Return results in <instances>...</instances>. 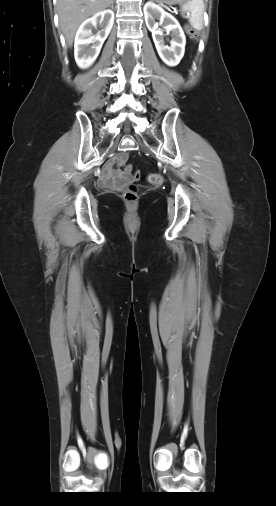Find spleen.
<instances>
[{"instance_id": "obj_1", "label": "spleen", "mask_w": 276, "mask_h": 506, "mask_svg": "<svg viewBox=\"0 0 276 506\" xmlns=\"http://www.w3.org/2000/svg\"><path fill=\"white\" fill-rule=\"evenodd\" d=\"M182 12H189L191 14L189 22L195 30H201L203 28V0H188V2L182 6Z\"/></svg>"}]
</instances>
